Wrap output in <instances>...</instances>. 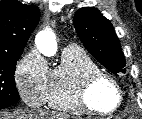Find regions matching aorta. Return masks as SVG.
<instances>
[{"instance_id":"1","label":"aorta","mask_w":142,"mask_h":119,"mask_svg":"<svg viewBox=\"0 0 142 119\" xmlns=\"http://www.w3.org/2000/svg\"><path fill=\"white\" fill-rule=\"evenodd\" d=\"M35 44L39 52L46 57H53L57 53L56 36L50 30L40 31L36 35Z\"/></svg>"}]
</instances>
